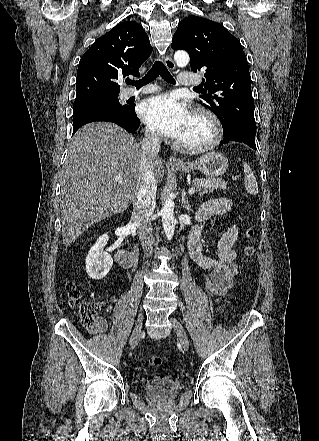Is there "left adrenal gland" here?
<instances>
[{"label": "left adrenal gland", "instance_id": "a2214340", "mask_svg": "<svg viewBox=\"0 0 319 441\" xmlns=\"http://www.w3.org/2000/svg\"><path fill=\"white\" fill-rule=\"evenodd\" d=\"M182 206L188 211H192L188 200L186 199V192L183 190L182 192Z\"/></svg>", "mask_w": 319, "mask_h": 441}]
</instances>
